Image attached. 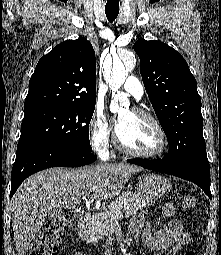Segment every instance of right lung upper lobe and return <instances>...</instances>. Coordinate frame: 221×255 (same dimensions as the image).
Here are the masks:
<instances>
[{"instance_id":"1","label":"right lung upper lobe","mask_w":221,"mask_h":255,"mask_svg":"<svg viewBox=\"0 0 221 255\" xmlns=\"http://www.w3.org/2000/svg\"><path fill=\"white\" fill-rule=\"evenodd\" d=\"M96 101V59L85 38L66 40L43 56L29 81L24 111Z\"/></svg>"}]
</instances>
